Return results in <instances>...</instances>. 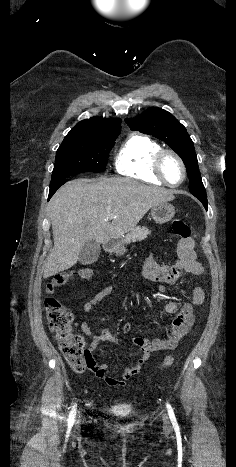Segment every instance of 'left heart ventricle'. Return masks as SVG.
I'll return each mask as SVG.
<instances>
[{"label": "left heart ventricle", "instance_id": "1", "mask_svg": "<svg viewBox=\"0 0 236 467\" xmlns=\"http://www.w3.org/2000/svg\"><path fill=\"white\" fill-rule=\"evenodd\" d=\"M162 168L168 182L176 184L181 181L182 169L174 157L167 155L163 160Z\"/></svg>", "mask_w": 236, "mask_h": 467}]
</instances>
